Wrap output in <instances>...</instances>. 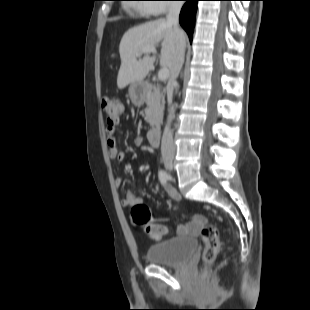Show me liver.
<instances>
[{
    "label": "liver",
    "mask_w": 310,
    "mask_h": 310,
    "mask_svg": "<svg viewBox=\"0 0 310 310\" xmlns=\"http://www.w3.org/2000/svg\"><path fill=\"white\" fill-rule=\"evenodd\" d=\"M159 43H161L160 64L170 70L176 49V34L166 19L147 22L125 32L119 45L121 58L117 77L119 89L132 82L144 80L155 62V57L145 53L142 59L137 58L144 48L156 47Z\"/></svg>",
    "instance_id": "liver-1"
}]
</instances>
